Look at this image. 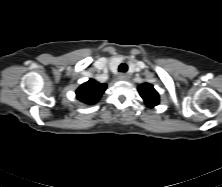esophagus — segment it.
I'll list each match as a JSON object with an SVG mask.
<instances>
[{
	"label": "esophagus",
	"instance_id": "1",
	"mask_svg": "<svg viewBox=\"0 0 222 187\" xmlns=\"http://www.w3.org/2000/svg\"><path fill=\"white\" fill-rule=\"evenodd\" d=\"M118 79L119 80H127L128 79V76L126 74H119L118 75Z\"/></svg>",
	"mask_w": 222,
	"mask_h": 187
}]
</instances>
